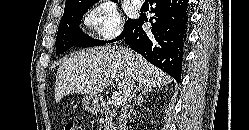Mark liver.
<instances>
[{"label": "liver", "mask_w": 249, "mask_h": 130, "mask_svg": "<svg viewBox=\"0 0 249 130\" xmlns=\"http://www.w3.org/2000/svg\"><path fill=\"white\" fill-rule=\"evenodd\" d=\"M118 83L122 102L132 90L141 92L166 85L171 77L128 48L102 46L65 57L56 76L55 101L71 93L96 95Z\"/></svg>", "instance_id": "1"}]
</instances>
